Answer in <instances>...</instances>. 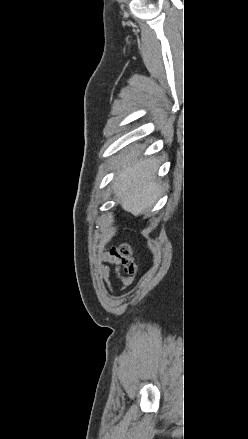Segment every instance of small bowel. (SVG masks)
Listing matches in <instances>:
<instances>
[{"label": "small bowel", "mask_w": 248, "mask_h": 439, "mask_svg": "<svg viewBox=\"0 0 248 439\" xmlns=\"http://www.w3.org/2000/svg\"><path fill=\"white\" fill-rule=\"evenodd\" d=\"M100 260L113 265L115 276L121 283L122 289H125L132 284L137 272V266L120 250L111 248L100 255ZM100 275L105 288L109 292H112V284L109 278L110 267L108 265H102L100 267Z\"/></svg>", "instance_id": "c3829d8e"}]
</instances>
